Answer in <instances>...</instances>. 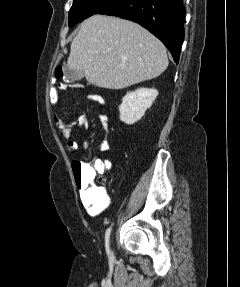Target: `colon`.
<instances>
[{
	"label": "colon",
	"mask_w": 240,
	"mask_h": 287,
	"mask_svg": "<svg viewBox=\"0 0 240 287\" xmlns=\"http://www.w3.org/2000/svg\"><path fill=\"white\" fill-rule=\"evenodd\" d=\"M54 83L51 85L48 93V104L53 116V120H58L63 117L62 107L63 101L61 92L68 87H79L76 84H69L63 80V69L57 67L53 76ZM73 172L77 180V185L80 191L84 194H89L90 190L94 187L91 186V181L96 172H102L109 168L108 163H100L95 167H91L79 161L73 162Z\"/></svg>",
	"instance_id": "5ec220e1"
}]
</instances>
